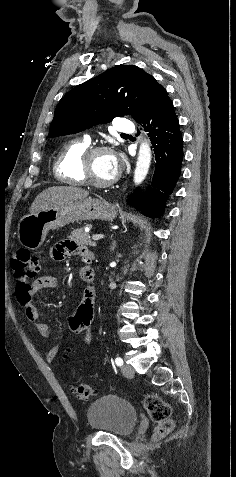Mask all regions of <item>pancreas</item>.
<instances>
[{
    "label": "pancreas",
    "mask_w": 236,
    "mask_h": 477,
    "mask_svg": "<svg viewBox=\"0 0 236 477\" xmlns=\"http://www.w3.org/2000/svg\"><path fill=\"white\" fill-rule=\"evenodd\" d=\"M69 238L76 244L89 245L91 247L96 246V242L90 240V234L85 232L84 227L72 231Z\"/></svg>",
    "instance_id": "obj_1"
}]
</instances>
